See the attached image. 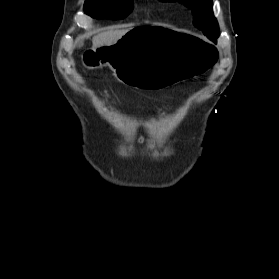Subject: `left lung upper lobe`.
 Here are the masks:
<instances>
[{
	"label": "left lung upper lobe",
	"mask_w": 279,
	"mask_h": 279,
	"mask_svg": "<svg viewBox=\"0 0 279 279\" xmlns=\"http://www.w3.org/2000/svg\"><path fill=\"white\" fill-rule=\"evenodd\" d=\"M161 1H179L192 9L194 15V25L212 41L219 37V26L213 16L212 0H161Z\"/></svg>",
	"instance_id": "obj_1"
}]
</instances>
